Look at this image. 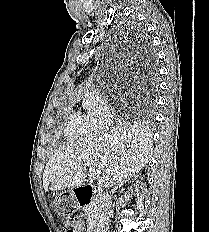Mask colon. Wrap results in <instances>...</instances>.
<instances>
[{
    "mask_svg": "<svg viewBox=\"0 0 209 232\" xmlns=\"http://www.w3.org/2000/svg\"><path fill=\"white\" fill-rule=\"evenodd\" d=\"M75 221H68L67 224H66V227H67V232H72L70 228H68L70 226L71 223H73Z\"/></svg>",
    "mask_w": 209,
    "mask_h": 232,
    "instance_id": "1",
    "label": "colon"
}]
</instances>
